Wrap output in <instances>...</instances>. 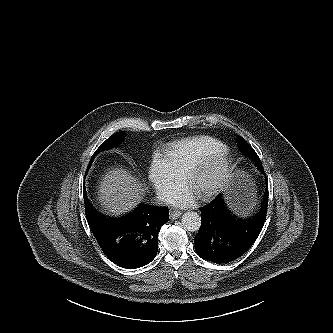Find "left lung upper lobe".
Here are the masks:
<instances>
[{"label":"left lung upper lobe","instance_id":"5c2ea615","mask_svg":"<svg viewBox=\"0 0 333 333\" xmlns=\"http://www.w3.org/2000/svg\"><path fill=\"white\" fill-rule=\"evenodd\" d=\"M239 147H240L242 153L244 155L249 156L250 158H252L255 161L257 167L262 171L263 166H262L261 160L259 159L257 153L255 152V150L251 146H249L245 142V140L243 138L239 139Z\"/></svg>","mask_w":333,"mask_h":333}]
</instances>
